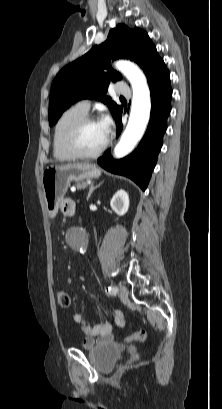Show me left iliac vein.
I'll use <instances>...</instances> for the list:
<instances>
[{
	"label": "left iliac vein",
	"mask_w": 222,
	"mask_h": 409,
	"mask_svg": "<svg viewBox=\"0 0 222 409\" xmlns=\"http://www.w3.org/2000/svg\"><path fill=\"white\" fill-rule=\"evenodd\" d=\"M119 296L122 300H125L128 297V289L124 285L119 286Z\"/></svg>",
	"instance_id": "1"
}]
</instances>
